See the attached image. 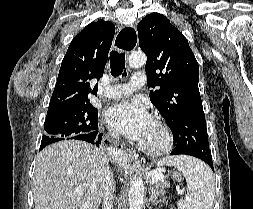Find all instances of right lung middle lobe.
I'll return each mask as SVG.
<instances>
[{
    "mask_svg": "<svg viewBox=\"0 0 253 209\" xmlns=\"http://www.w3.org/2000/svg\"><path fill=\"white\" fill-rule=\"evenodd\" d=\"M98 124V111L93 106L65 108L46 116L45 135L42 137L40 149L46 145L64 140L75 139L76 136L89 134Z\"/></svg>",
    "mask_w": 253,
    "mask_h": 209,
    "instance_id": "right-lung-middle-lobe-1",
    "label": "right lung middle lobe"
}]
</instances>
